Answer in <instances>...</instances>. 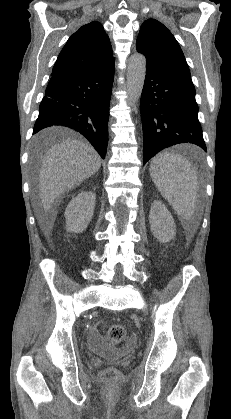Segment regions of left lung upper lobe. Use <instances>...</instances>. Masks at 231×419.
<instances>
[{
    "label": "left lung upper lobe",
    "mask_w": 231,
    "mask_h": 419,
    "mask_svg": "<svg viewBox=\"0 0 231 419\" xmlns=\"http://www.w3.org/2000/svg\"><path fill=\"white\" fill-rule=\"evenodd\" d=\"M136 49L146 56L147 69L191 77L178 42L168 28L159 21L148 19L141 25Z\"/></svg>",
    "instance_id": "5c2ea615"
}]
</instances>
